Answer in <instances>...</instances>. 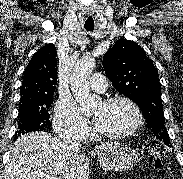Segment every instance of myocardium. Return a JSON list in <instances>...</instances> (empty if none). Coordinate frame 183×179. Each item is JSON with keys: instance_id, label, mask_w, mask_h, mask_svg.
Returning a JSON list of instances; mask_svg holds the SVG:
<instances>
[{"instance_id": "obj_1", "label": "myocardium", "mask_w": 183, "mask_h": 179, "mask_svg": "<svg viewBox=\"0 0 183 179\" xmlns=\"http://www.w3.org/2000/svg\"><path fill=\"white\" fill-rule=\"evenodd\" d=\"M118 102H125V103L129 104L133 108V110L136 114L137 121L133 128H131L128 131L121 132V133H110V132L102 131L99 128L97 129V131L102 136H105L110 139H123V138L133 136L134 134L139 132L144 125V114L142 112V109L133 99H131L127 96H113V97H109L103 101V103L105 105H112V104H115Z\"/></svg>"}]
</instances>
